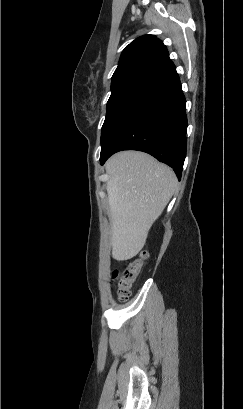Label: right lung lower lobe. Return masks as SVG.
Listing matches in <instances>:
<instances>
[{"label":"right lung lower lobe","mask_w":243,"mask_h":409,"mask_svg":"<svg viewBox=\"0 0 243 409\" xmlns=\"http://www.w3.org/2000/svg\"><path fill=\"white\" fill-rule=\"evenodd\" d=\"M186 100L174 70L129 114L101 151L104 162L121 150H139L173 168L181 179L186 157Z\"/></svg>","instance_id":"98d812e1"}]
</instances>
